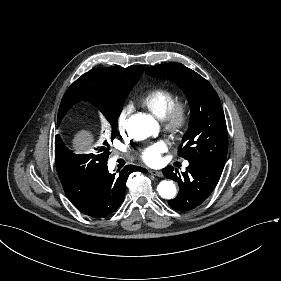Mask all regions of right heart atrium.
I'll list each match as a JSON object with an SVG mask.
<instances>
[{
  "instance_id": "right-heart-atrium-1",
  "label": "right heart atrium",
  "mask_w": 281,
  "mask_h": 281,
  "mask_svg": "<svg viewBox=\"0 0 281 281\" xmlns=\"http://www.w3.org/2000/svg\"><path fill=\"white\" fill-rule=\"evenodd\" d=\"M129 117L125 118L118 114L117 126L121 132H125L130 138L134 140H141L143 129L139 125H129Z\"/></svg>"
}]
</instances>
